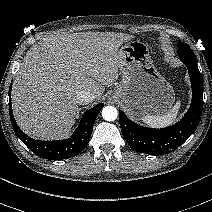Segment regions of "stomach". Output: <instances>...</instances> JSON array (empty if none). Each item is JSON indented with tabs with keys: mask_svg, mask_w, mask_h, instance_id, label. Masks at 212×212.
I'll list each match as a JSON object with an SVG mask.
<instances>
[{
	"mask_svg": "<svg viewBox=\"0 0 212 212\" xmlns=\"http://www.w3.org/2000/svg\"><path fill=\"white\" fill-rule=\"evenodd\" d=\"M118 55L121 81L112 97L135 117L166 114L174 103V90L156 69L146 44L130 41Z\"/></svg>",
	"mask_w": 212,
	"mask_h": 212,
	"instance_id": "1",
	"label": "stomach"
}]
</instances>
